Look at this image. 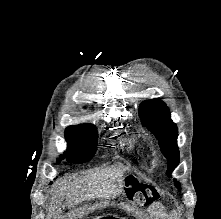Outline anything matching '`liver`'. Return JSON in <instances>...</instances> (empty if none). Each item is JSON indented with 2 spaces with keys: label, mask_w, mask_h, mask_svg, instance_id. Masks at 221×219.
Instances as JSON below:
<instances>
[{
  "label": "liver",
  "mask_w": 221,
  "mask_h": 219,
  "mask_svg": "<svg viewBox=\"0 0 221 219\" xmlns=\"http://www.w3.org/2000/svg\"><path fill=\"white\" fill-rule=\"evenodd\" d=\"M126 171L128 168L124 166L109 167L96 172H88L72 182H65L50 202V216L60 212L63 198H66L67 205L70 207L86 200L117 197L122 191V177Z\"/></svg>",
  "instance_id": "6515ba94"
}]
</instances>
